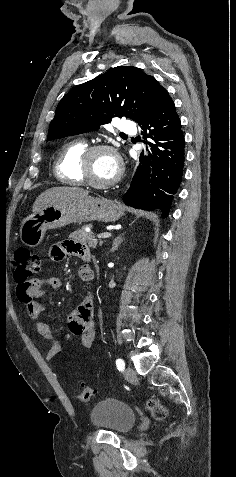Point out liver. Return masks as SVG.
Masks as SVG:
<instances>
[{
  "label": "liver",
  "mask_w": 236,
  "mask_h": 477,
  "mask_svg": "<svg viewBox=\"0 0 236 477\" xmlns=\"http://www.w3.org/2000/svg\"><path fill=\"white\" fill-rule=\"evenodd\" d=\"M89 192L78 187H53L41 193L33 204V212L37 213L43 208L72 199L88 196Z\"/></svg>",
  "instance_id": "1"
}]
</instances>
